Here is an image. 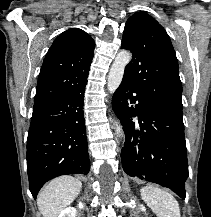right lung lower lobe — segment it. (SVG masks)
Wrapping results in <instances>:
<instances>
[{
    "instance_id": "98d812e1",
    "label": "right lung lower lobe",
    "mask_w": 211,
    "mask_h": 217,
    "mask_svg": "<svg viewBox=\"0 0 211 217\" xmlns=\"http://www.w3.org/2000/svg\"><path fill=\"white\" fill-rule=\"evenodd\" d=\"M87 81L69 94L33 109L27 138L29 189L36 199L50 179L90 170L83 97Z\"/></svg>"
}]
</instances>
